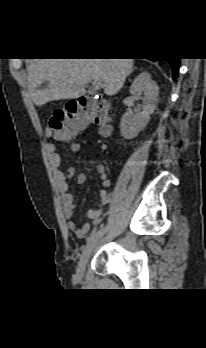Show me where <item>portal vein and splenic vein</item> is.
I'll return each instance as SVG.
<instances>
[{"instance_id":"18ae733b","label":"portal vein and splenic vein","mask_w":206,"mask_h":348,"mask_svg":"<svg viewBox=\"0 0 206 348\" xmlns=\"http://www.w3.org/2000/svg\"><path fill=\"white\" fill-rule=\"evenodd\" d=\"M92 86H93V88H95V89H99V88L103 87V83H102V81H100V80H94V81L92 82Z\"/></svg>"}]
</instances>
